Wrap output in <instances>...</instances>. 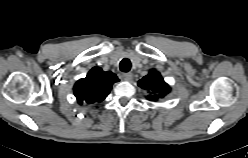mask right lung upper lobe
Returning <instances> with one entry per match:
<instances>
[{"label":"right lung upper lobe","instance_id":"cb5924a9","mask_svg":"<svg viewBox=\"0 0 248 158\" xmlns=\"http://www.w3.org/2000/svg\"><path fill=\"white\" fill-rule=\"evenodd\" d=\"M117 81L119 80L114 73L94 67L85 78L76 82L74 94L80 105L101 102L109 94L112 84Z\"/></svg>","mask_w":248,"mask_h":158}]
</instances>
